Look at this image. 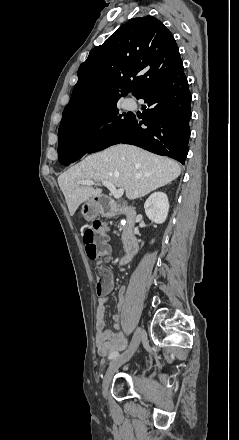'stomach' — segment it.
Masks as SVG:
<instances>
[{"instance_id": "1", "label": "stomach", "mask_w": 239, "mask_h": 440, "mask_svg": "<svg viewBox=\"0 0 239 440\" xmlns=\"http://www.w3.org/2000/svg\"><path fill=\"white\" fill-rule=\"evenodd\" d=\"M101 212V204L98 202V200H95V198H91V200H88L86 204H83L81 208V214L87 222H91V220H94V218H97Z\"/></svg>"}]
</instances>
